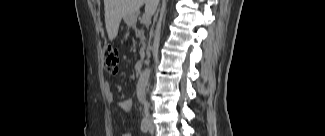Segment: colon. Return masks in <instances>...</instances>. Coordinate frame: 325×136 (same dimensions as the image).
<instances>
[{
  "instance_id": "colon-1",
  "label": "colon",
  "mask_w": 325,
  "mask_h": 136,
  "mask_svg": "<svg viewBox=\"0 0 325 136\" xmlns=\"http://www.w3.org/2000/svg\"><path fill=\"white\" fill-rule=\"evenodd\" d=\"M119 54L118 50L112 45L103 48V64L106 71L116 73L118 70Z\"/></svg>"
}]
</instances>
